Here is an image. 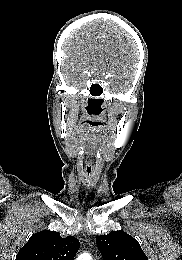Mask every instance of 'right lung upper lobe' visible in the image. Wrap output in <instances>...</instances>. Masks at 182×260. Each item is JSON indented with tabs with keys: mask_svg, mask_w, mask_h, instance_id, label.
Returning a JSON list of instances; mask_svg holds the SVG:
<instances>
[{
	"mask_svg": "<svg viewBox=\"0 0 182 260\" xmlns=\"http://www.w3.org/2000/svg\"><path fill=\"white\" fill-rule=\"evenodd\" d=\"M80 247L77 238H62L55 231L33 234L16 256V260H74Z\"/></svg>",
	"mask_w": 182,
	"mask_h": 260,
	"instance_id": "cb5924a9",
	"label": "right lung upper lobe"
}]
</instances>
